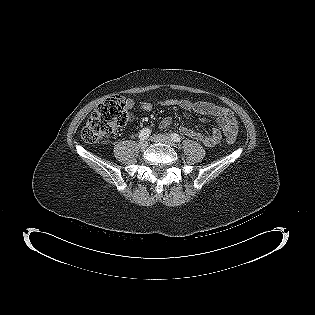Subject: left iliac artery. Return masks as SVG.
I'll return each instance as SVG.
<instances>
[{"label": "left iliac artery", "instance_id": "obj_1", "mask_svg": "<svg viewBox=\"0 0 315 315\" xmlns=\"http://www.w3.org/2000/svg\"><path fill=\"white\" fill-rule=\"evenodd\" d=\"M170 136H171V139H172L174 142H176V143H180V142H181V138H180V136H179L178 134L172 133Z\"/></svg>", "mask_w": 315, "mask_h": 315}]
</instances>
